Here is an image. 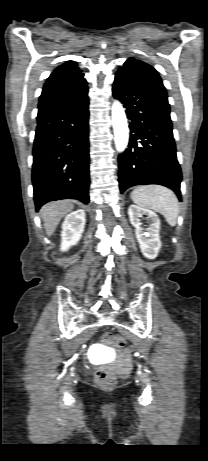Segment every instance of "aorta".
<instances>
[{
  "label": "aorta",
  "mask_w": 208,
  "mask_h": 461,
  "mask_svg": "<svg viewBox=\"0 0 208 461\" xmlns=\"http://www.w3.org/2000/svg\"><path fill=\"white\" fill-rule=\"evenodd\" d=\"M112 123L116 149L118 152H123L128 145L129 128L124 108L119 101H115L112 105Z\"/></svg>",
  "instance_id": "aorta-1"
}]
</instances>
